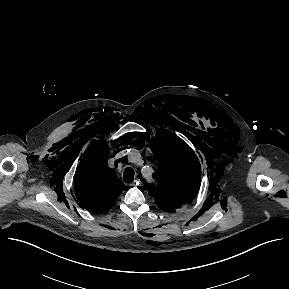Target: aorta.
I'll return each instance as SVG.
<instances>
[{
  "label": "aorta",
  "mask_w": 289,
  "mask_h": 289,
  "mask_svg": "<svg viewBox=\"0 0 289 289\" xmlns=\"http://www.w3.org/2000/svg\"><path fill=\"white\" fill-rule=\"evenodd\" d=\"M142 177H144L145 180H152V174H153V171L150 169V168H143L142 171Z\"/></svg>",
  "instance_id": "762f6f07"
}]
</instances>
